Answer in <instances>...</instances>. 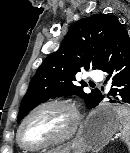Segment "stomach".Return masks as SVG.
I'll return each instance as SVG.
<instances>
[{"instance_id":"stomach-1","label":"stomach","mask_w":130,"mask_h":153,"mask_svg":"<svg viewBox=\"0 0 130 153\" xmlns=\"http://www.w3.org/2000/svg\"><path fill=\"white\" fill-rule=\"evenodd\" d=\"M120 126L116 107L109 105L93 110L83 122L76 138L65 150L48 153H84L105 147Z\"/></svg>"}]
</instances>
